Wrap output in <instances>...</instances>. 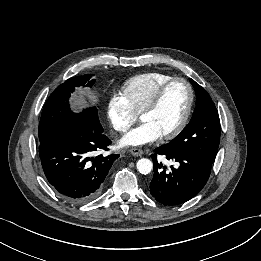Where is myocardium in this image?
Instances as JSON below:
<instances>
[{
	"instance_id": "f54148a6",
	"label": "myocardium",
	"mask_w": 261,
	"mask_h": 261,
	"mask_svg": "<svg viewBox=\"0 0 261 261\" xmlns=\"http://www.w3.org/2000/svg\"><path fill=\"white\" fill-rule=\"evenodd\" d=\"M176 83H182L186 86L187 90H188V103H187V108L185 110V113L181 119V121L179 122V124L170 132L162 135L160 138L163 140H171L175 137H177L186 127V125L189 122V119L191 117L192 114V110H193V105H194V90L193 87L191 85V83L182 77H175L172 78L171 80H169L167 83H165L156 93L155 97L153 98V100L147 105V107L141 112L140 115V119L143 120V117L147 114H150L152 112H155L156 110H158V108L160 107L168 89L176 84Z\"/></svg>"
}]
</instances>
